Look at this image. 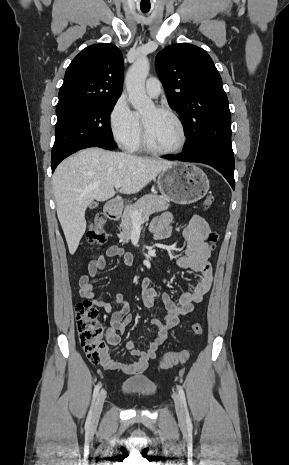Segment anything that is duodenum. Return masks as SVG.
<instances>
[{
  "mask_svg": "<svg viewBox=\"0 0 289 465\" xmlns=\"http://www.w3.org/2000/svg\"><path fill=\"white\" fill-rule=\"evenodd\" d=\"M121 211V202L118 199H111L108 201L105 207L106 216L111 219L115 220L119 217Z\"/></svg>",
  "mask_w": 289,
  "mask_h": 465,
  "instance_id": "duodenum-1",
  "label": "duodenum"
}]
</instances>
